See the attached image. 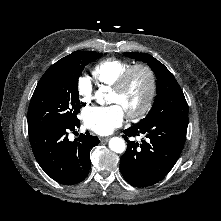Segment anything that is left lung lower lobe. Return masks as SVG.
Returning a JSON list of instances; mask_svg holds the SVG:
<instances>
[{
	"label": "left lung lower lobe",
	"mask_w": 221,
	"mask_h": 221,
	"mask_svg": "<svg viewBox=\"0 0 221 221\" xmlns=\"http://www.w3.org/2000/svg\"><path fill=\"white\" fill-rule=\"evenodd\" d=\"M188 127V105L183 94L170 113L124 130L127 150L120 159L124 179L136 187H147L162 180L173 168L183 149ZM145 135L139 144L128 137Z\"/></svg>",
	"instance_id": "0a47b994"
}]
</instances>
